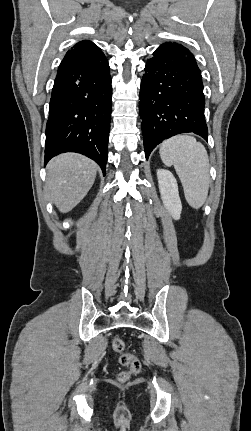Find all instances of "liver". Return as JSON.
Here are the masks:
<instances>
[{"label":"liver","mask_w":251,"mask_h":431,"mask_svg":"<svg viewBox=\"0 0 251 431\" xmlns=\"http://www.w3.org/2000/svg\"><path fill=\"white\" fill-rule=\"evenodd\" d=\"M97 174V164L76 153H65L47 165L46 186L51 201L62 213L72 210L88 193Z\"/></svg>","instance_id":"liver-1"}]
</instances>
